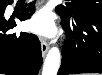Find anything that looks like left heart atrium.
I'll return each mask as SVG.
<instances>
[{
  "mask_svg": "<svg viewBox=\"0 0 102 75\" xmlns=\"http://www.w3.org/2000/svg\"><path fill=\"white\" fill-rule=\"evenodd\" d=\"M29 29L42 38H49L55 34L53 15L47 9L38 11L28 23Z\"/></svg>",
  "mask_w": 102,
  "mask_h": 75,
  "instance_id": "obj_1",
  "label": "left heart atrium"
}]
</instances>
